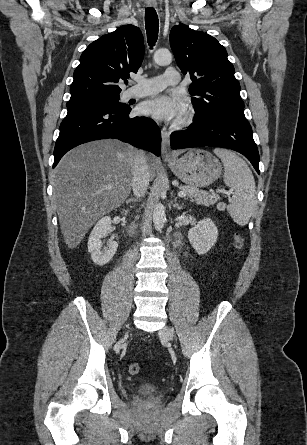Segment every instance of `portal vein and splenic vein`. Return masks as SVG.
Listing matches in <instances>:
<instances>
[{
	"label": "portal vein and splenic vein",
	"instance_id": "1",
	"mask_svg": "<svg viewBox=\"0 0 307 445\" xmlns=\"http://www.w3.org/2000/svg\"><path fill=\"white\" fill-rule=\"evenodd\" d=\"M106 188H109V190H111V186H106ZM222 192H226V190H222ZM178 196H186V194L185 192H183V190H180V192H178Z\"/></svg>",
	"mask_w": 307,
	"mask_h": 445
}]
</instances>
